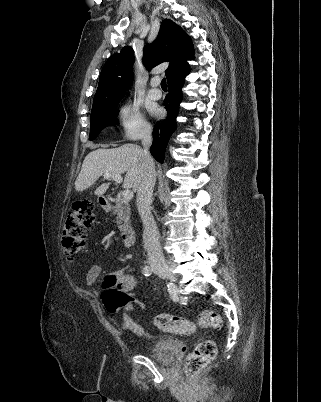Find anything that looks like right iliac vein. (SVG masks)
I'll list each match as a JSON object with an SVG mask.
<instances>
[{"instance_id": "63e3f726", "label": "right iliac vein", "mask_w": 321, "mask_h": 402, "mask_svg": "<svg viewBox=\"0 0 321 402\" xmlns=\"http://www.w3.org/2000/svg\"><path fill=\"white\" fill-rule=\"evenodd\" d=\"M157 271L166 277H168L170 280L175 281L176 277L175 274L173 273L172 269L168 266L160 267L157 269Z\"/></svg>"}]
</instances>
